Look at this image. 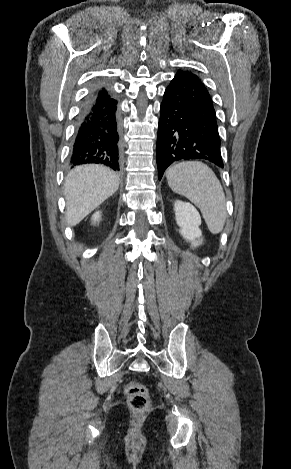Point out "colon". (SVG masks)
Returning <instances> with one entry per match:
<instances>
[{
    "instance_id": "1",
    "label": "colon",
    "mask_w": 291,
    "mask_h": 469,
    "mask_svg": "<svg viewBox=\"0 0 291 469\" xmlns=\"http://www.w3.org/2000/svg\"><path fill=\"white\" fill-rule=\"evenodd\" d=\"M129 407L135 412L146 411L151 404L148 389L141 383L131 381L125 386Z\"/></svg>"
}]
</instances>
